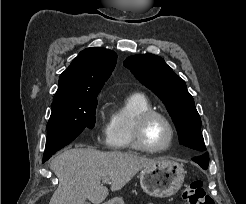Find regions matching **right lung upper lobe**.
Returning <instances> with one entry per match:
<instances>
[{
    "instance_id": "right-lung-upper-lobe-1",
    "label": "right lung upper lobe",
    "mask_w": 246,
    "mask_h": 204,
    "mask_svg": "<svg viewBox=\"0 0 246 204\" xmlns=\"http://www.w3.org/2000/svg\"><path fill=\"white\" fill-rule=\"evenodd\" d=\"M116 61L117 54L109 49L91 47L81 51L60 75L53 102L98 94L110 77Z\"/></svg>"
}]
</instances>
